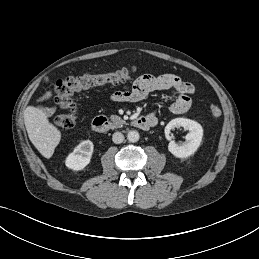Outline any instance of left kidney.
Segmentation results:
<instances>
[{
	"label": "left kidney",
	"instance_id": "5707ae66",
	"mask_svg": "<svg viewBox=\"0 0 259 259\" xmlns=\"http://www.w3.org/2000/svg\"><path fill=\"white\" fill-rule=\"evenodd\" d=\"M183 127L188 130L189 133L186 135V142L184 144H177L174 141H170L168 145L169 151L178 158H187L194 154L199 148L202 137L203 128L202 126L193 120L187 118H175L172 119L165 127V135L168 140L170 138V131L173 128Z\"/></svg>",
	"mask_w": 259,
	"mask_h": 259
}]
</instances>
